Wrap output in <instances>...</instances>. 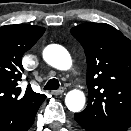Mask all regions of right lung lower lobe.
<instances>
[{"label":"right lung lower lobe","instance_id":"1","mask_svg":"<svg viewBox=\"0 0 131 131\" xmlns=\"http://www.w3.org/2000/svg\"><path fill=\"white\" fill-rule=\"evenodd\" d=\"M39 109V108H38ZM37 110L11 120H0V131H28L34 123Z\"/></svg>","mask_w":131,"mask_h":131}]
</instances>
